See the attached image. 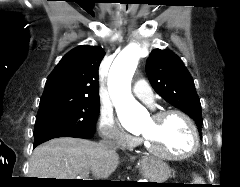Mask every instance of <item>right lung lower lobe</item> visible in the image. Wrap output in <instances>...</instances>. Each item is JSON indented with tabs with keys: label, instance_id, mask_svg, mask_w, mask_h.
Segmentation results:
<instances>
[{
	"label": "right lung lower lobe",
	"instance_id": "1",
	"mask_svg": "<svg viewBox=\"0 0 240 187\" xmlns=\"http://www.w3.org/2000/svg\"><path fill=\"white\" fill-rule=\"evenodd\" d=\"M57 137H75V138L88 139L91 136L85 137V136H81V135H77V134L65 132V131H50V132H46L41 135L35 136L33 147L35 148L41 143Z\"/></svg>",
	"mask_w": 240,
	"mask_h": 187
}]
</instances>
